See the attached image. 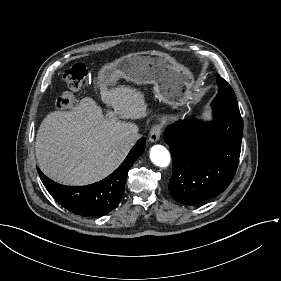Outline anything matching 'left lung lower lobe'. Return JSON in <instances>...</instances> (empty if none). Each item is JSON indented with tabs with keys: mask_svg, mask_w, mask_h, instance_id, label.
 <instances>
[{
	"mask_svg": "<svg viewBox=\"0 0 281 281\" xmlns=\"http://www.w3.org/2000/svg\"><path fill=\"white\" fill-rule=\"evenodd\" d=\"M214 121L180 120L165 133L173 161L169 192L179 203L195 205L222 193L239 162L243 121L238 104H212Z\"/></svg>",
	"mask_w": 281,
	"mask_h": 281,
	"instance_id": "1",
	"label": "left lung lower lobe"
}]
</instances>
